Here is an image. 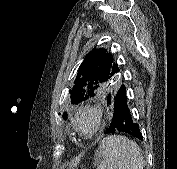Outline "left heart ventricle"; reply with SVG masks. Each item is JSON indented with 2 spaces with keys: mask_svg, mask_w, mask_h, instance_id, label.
I'll return each instance as SVG.
<instances>
[{
  "mask_svg": "<svg viewBox=\"0 0 177 169\" xmlns=\"http://www.w3.org/2000/svg\"><path fill=\"white\" fill-rule=\"evenodd\" d=\"M79 126L83 131L88 132L92 128V120L89 116H83L79 121Z\"/></svg>",
  "mask_w": 177,
  "mask_h": 169,
  "instance_id": "left-heart-ventricle-1",
  "label": "left heart ventricle"
}]
</instances>
